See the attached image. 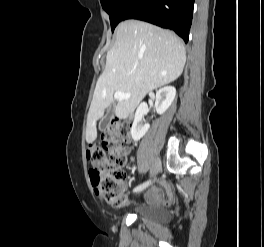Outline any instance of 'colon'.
<instances>
[{
  "label": "colon",
  "mask_w": 264,
  "mask_h": 247,
  "mask_svg": "<svg viewBox=\"0 0 264 247\" xmlns=\"http://www.w3.org/2000/svg\"><path fill=\"white\" fill-rule=\"evenodd\" d=\"M129 141L127 128L112 122L99 134V145L89 150L91 184L97 195L109 206L121 208L127 202L126 149Z\"/></svg>",
  "instance_id": "obj_1"
}]
</instances>
